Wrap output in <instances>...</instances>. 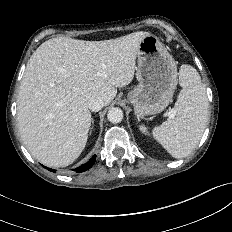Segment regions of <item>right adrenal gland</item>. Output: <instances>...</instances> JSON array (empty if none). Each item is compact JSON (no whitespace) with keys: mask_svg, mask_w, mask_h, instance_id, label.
<instances>
[{"mask_svg":"<svg viewBox=\"0 0 232 232\" xmlns=\"http://www.w3.org/2000/svg\"><path fill=\"white\" fill-rule=\"evenodd\" d=\"M91 122H92V125H93V123H94L93 118H91ZM91 131H92V128L90 130V134H91Z\"/></svg>","mask_w":232,"mask_h":232,"instance_id":"right-adrenal-gland-1","label":"right adrenal gland"}]
</instances>
